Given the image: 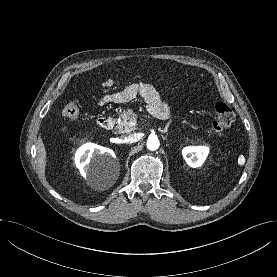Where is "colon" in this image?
<instances>
[{
    "instance_id": "obj_1",
    "label": "colon",
    "mask_w": 277,
    "mask_h": 277,
    "mask_svg": "<svg viewBox=\"0 0 277 277\" xmlns=\"http://www.w3.org/2000/svg\"><path fill=\"white\" fill-rule=\"evenodd\" d=\"M114 85V84H113ZM63 115L76 120L80 116V105L77 101H71L63 108ZM235 120L233 110L224 102H217L215 105V119L211 127L213 134H220L229 129Z\"/></svg>"
}]
</instances>
